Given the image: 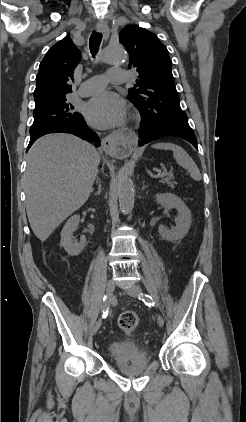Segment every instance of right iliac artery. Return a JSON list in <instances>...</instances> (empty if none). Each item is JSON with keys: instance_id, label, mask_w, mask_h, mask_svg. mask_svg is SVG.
Instances as JSON below:
<instances>
[{"instance_id": "1", "label": "right iliac artery", "mask_w": 246, "mask_h": 422, "mask_svg": "<svg viewBox=\"0 0 246 422\" xmlns=\"http://www.w3.org/2000/svg\"><path fill=\"white\" fill-rule=\"evenodd\" d=\"M109 312V298L107 295L103 298V314L102 318H106Z\"/></svg>"}]
</instances>
